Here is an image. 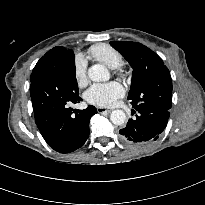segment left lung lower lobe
<instances>
[{"label":"left lung lower lobe","mask_w":205,"mask_h":205,"mask_svg":"<svg viewBox=\"0 0 205 205\" xmlns=\"http://www.w3.org/2000/svg\"><path fill=\"white\" fill-rule=\"evenodd\" d=\"M139 114L130 119L126 127L120 129L122 140L128 144L142 146L159 138L166 128L169 110L158 107L134 108ZM135 110H132L136 113Z\"/></svg>","instance_id":"left-lung-lower-lobe-1"}]
</instances>
